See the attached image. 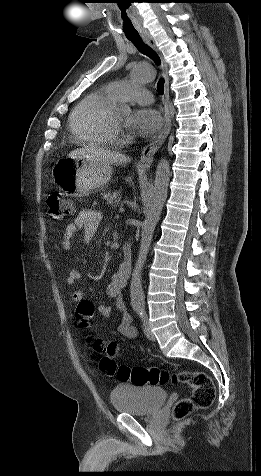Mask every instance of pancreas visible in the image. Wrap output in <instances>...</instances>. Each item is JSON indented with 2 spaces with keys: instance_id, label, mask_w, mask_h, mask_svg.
Listing matches in <instances>:
<instances>
[{
  "instance_id": "cf45deb5",
  "label": "pancreas",
  "mask_w": 261,
  "mask_h": 476,
  "mask_svg": "<svg viewBox=\"0 0 261 476\" xmlns=\"http://www.w3.org/2000/svg\"><path fill=\"white\" fill-rule=\"evenodd\" d=\"M102 195L108 205L116 207L118 204H120V201H121L120 191H115L113 193H110V192L103 193Z\"/></svg>"
}]
</instances>
